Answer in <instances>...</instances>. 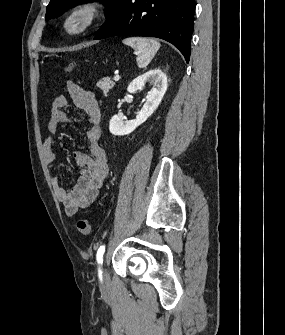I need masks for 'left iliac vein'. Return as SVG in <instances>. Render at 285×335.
<instances>
[{
  "label": "left iliac vein",
  "instance_id": "4c4485c4",
  "mask_svg": "<svg viewBox=\"0 0 285 335\" xmlns=\"http://www.w3.org/2000/svg\"><path fill=\"white\" fill-rule=\"evenodd\" d=\"M101 280L103 284H108L110 281L109 273L106 267L102 266L101 267Z\"/></svg>",
  "mask_w": 285,
  "mask_h": 335
}]
</instances>
